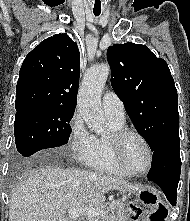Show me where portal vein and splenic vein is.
Instances as JSON below:
<instances>
[{
  "mask_svg": "<svg viewBox=\"0 0 190 221\" xmlns=\"http://www.w3.org/2000/svg\"><path fill=\"white\" fill-rule=\"evenodd\" d=\"M69 218L76 219L80 216H88L89 218H95L99 215H104L105 212L100 208H94L93 206H87L83 208H70L68 210Z\"/></svg>",
  "mask_w": 190,
  "mask_h": 221,
  "instance_id": "portal-vein-and-splenic-vein-1",
  "label": "portal vein and splenic vein"
}]
</instances>
